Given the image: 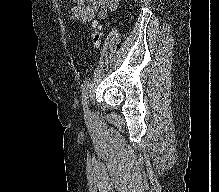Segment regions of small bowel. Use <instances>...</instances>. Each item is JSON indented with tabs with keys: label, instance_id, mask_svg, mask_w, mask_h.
<instances>
[{
	"label": "small bowel",
	"instance_id": "c3829d8e",
	"mask_svg": "<svg viewBox=\"0 0 219 192\" xmlns=\"http://www.w3.org/2000/svg\"><path fill=\"white\" fill-rule=\"evenodd\" d=\"M70 15L81 23H89L96 17L106 19L120 0H71Z\"/></svg>",
	"mask_w": 219,
	"mask_h": 192
}]
</instances>
